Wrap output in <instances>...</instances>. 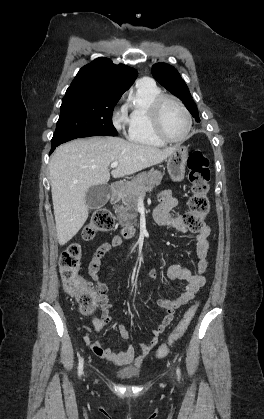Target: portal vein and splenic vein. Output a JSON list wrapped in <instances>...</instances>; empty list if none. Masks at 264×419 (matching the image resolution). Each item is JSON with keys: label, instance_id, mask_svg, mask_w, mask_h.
<instances>
[{"label": "portal vein and splenic vein", "instance_id": "obj_1", "mask_svg": "<svg viewBox=\"0 0 264 419\" xmlns=\"http://www.w3.org/2000/svg\"><path fill=\"white\" fill-rule=\"evenodd\" d=\"M117 165H118V162H112V163H111V168H116V167H117Z\"/></svg>", "mask_w": 264, "mask_h": 419}]
</instances>
